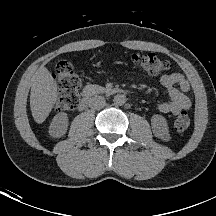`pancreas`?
<instances>
[{
  "instance_id": "pancreas-1",
  "label": "pancreas",
  "mask_w": 216,
  "mask_h": 216,
  "mask_svg": "<svg viewBox=\"0 0 216 216\" xmlns=\"http://www.w3.org/2000/svg\"><path fill=\"white\" fill-rule=\"evenodd\" d=\"M94 89L97 93H103L106 91V88L102 87V86H98V85H95L94 86Z\"/></svg>"
}]
</instances>
